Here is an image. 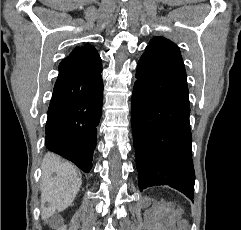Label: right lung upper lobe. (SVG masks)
I'll use <instances>...</instances> for the list:
<instances>
[{
    "label": "right lung upper lobe",
    "mask_w": 241,
    "mask_h": 230,
    "mask_svg": "<svg viewBox=\"0 0 241 230\" xmlns=\"http://www.w3.org/2000/svg\"><path fill=\"white\" fill-rule=\"evenodd\" d=\"M65 59L71 60L75 65L81 68L101 69V59L93 46L85 45L76 47Z\"/></svg>",
    "instance_id": "cb5924a9"
}]
</instances>
